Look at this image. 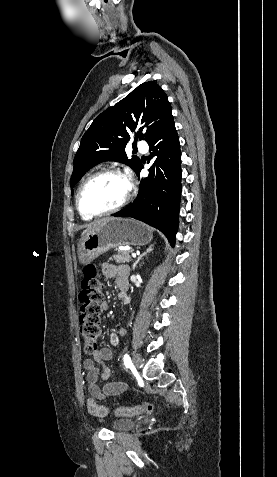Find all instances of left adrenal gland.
<instances>
[{
    "label": "left adrenal gland",
    "instance_id": "1",
    "mask_svg": "<svg viewBox=\"0 0 277 477\" xmlns=\"http://www.w3.org/2000/svg\"><path fill=\"white\" fill-rule=\"evenodd\" d=\"M153 246H154V245H150L149 248H147V250H146L143 254H141V255L138 257V259L136 260V262H135V263L133 264V266H132V270H134V269L136 268L137 264L139 263V261H140L144 256H146L148 253H150V252L153 251Z\"/></svg>",
    "mask_w": 277,
    "mask_h": 477
}]
</instances>
